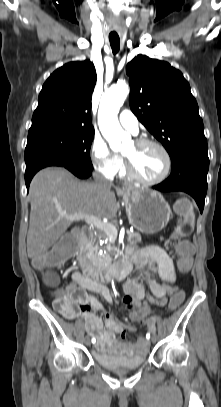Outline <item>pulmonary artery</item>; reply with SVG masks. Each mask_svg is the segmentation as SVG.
Segmentation results:
<instances>
[{"label":"pulmonary artery","instance_id":"1","mask_svg":"<svg viewBox=\"0 0 221 407\" xmlns=\"http://www.w3.org/2000/svg\"><path fill=\"white\" fill-rule=\"evenodd\" d=\"M120 124L133 134L138 132V120L130 110H123L119 115Z\"/></svg>","mask_w":221,"mask_h":407}]
</instances>
